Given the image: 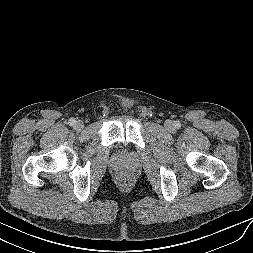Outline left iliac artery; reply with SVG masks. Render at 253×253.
I'll return each mask as SVG.
<instances>
[{"label":"left iliac artery","instance_id":"44dca946","mask_svg":"<svg viewBox=\"0 0 253 253\" xmlns=\"http://www.w3.org/2000/svg\"><path fill=\"white\" fill-rule=\"evenodd\" d=\"M175 127L176 128H180L181 127L180 123L179 122H175Z\"/></svg>","mask_w":253,"mask_h":253}]
</instances>
